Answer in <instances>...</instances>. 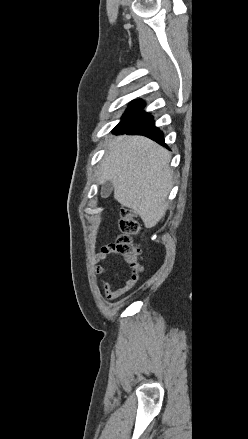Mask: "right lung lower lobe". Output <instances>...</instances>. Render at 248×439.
Returning <instances> with one entry per match:
<instances>
[{"label":"right lung lower lobe","instance_id":"1","mask_svg":"<svg viewBox=\"0 0 248 439\" xmlns=\"http://www.w3.org/2000/svg\"><path fill=\"white\" fill-rule=\"evenodd\" d=\"M113 132L144 135L159 144L165 145L163 133L155 126L153 117L142 109L121 121Z\"/></svg>","mask_w":248,"mask_h":439}]
</instances>
